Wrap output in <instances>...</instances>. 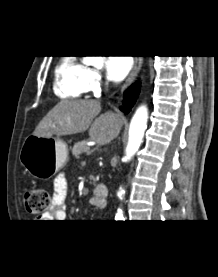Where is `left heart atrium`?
I'll return each instance as SVG.
<instances>
[{
	"mask_svg": "<svg viewBox=\"0 0 218 277\" xmlns=\"http://www.w3.org/2000/svg\"><path fill=\"white\" fill-rule=\"evenodd\" d=\"M106 67L109 79L118 82L128 74L132 67V61L126 57H108Z\"/></svg>",
	"mask_w": 218,
	"mask_h": 277,
	"instance_id": "left-heart-atrium-1",
	"label": "left heart atrium"
}]
</instances>
